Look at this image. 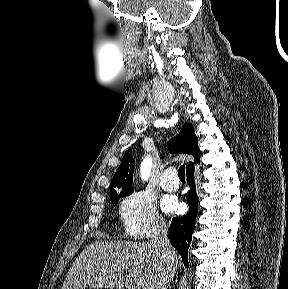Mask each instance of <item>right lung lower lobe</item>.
<instances>
[{"label":"right lung lower lobe","mask_w":288,"mask_h":289,"mask_svg":"<svg viewBox=\"0 0 288 289\" xmlns=\"http://www.w3.org/2000/svg\"><path fill=\"white\" fill-rule=\"evenodd\" d=\"M194 166L187 170V181L191 186L189 191V212L182 217L172 219L170 225L169 239L182 257L185 266L188 265V248L192 240V232L195 229V220L197 215L198 197L194 186Z\"/></svg>","instance_id":"98d812e1"}]
</instances>
